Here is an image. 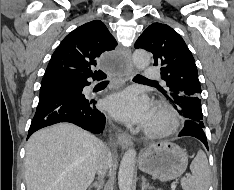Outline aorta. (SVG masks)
<instances>
[{
	"label": "aorta",
	"instance_id": "obj_1",
	"mask_svg": "<svg viewBox=\"0 0 234 190\" xmlns=\"http://www.w3.org/2000/svg\"><path fill=\"white\" fill-rule=\"evenodd\" d=\"M133 62L137 69H144L150 63V55L147 51L138 49L133 53ZM136 150L128 149L120 163L118 172V184L120 190H131L135 168Z\"/></svg>",
	"mask_w": 234,
	"mask_h": 190
}]
</instances>
